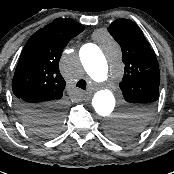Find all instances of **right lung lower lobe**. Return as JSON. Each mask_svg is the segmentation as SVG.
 Returning a JSON list of instances; mask_svg holds the SVG:
<instances>
[{"mask_svg":"<svg viewBox=\"0 0 174 174\" xmlns=\"http://www.w3.org/2000/svg\"><path fill=\"white\" fill-rule=\"evenodd\" d=\"M17 111L23 121H25L24 115L39 113L46 110L48 107L54 106L57 108V112L62 110L60 102H46V101H31L29 99H15Z\"/></svg>","mask_w":174,"mask_h":174,"instance_id":"1","label":"right lung lower lobe"}]
</instances>
